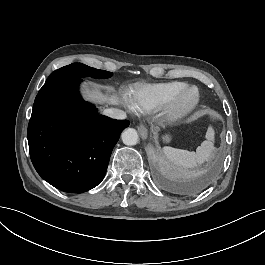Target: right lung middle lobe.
<instances>
[{
	"label": "right lung middle lobe",
	"mask_w": 265,
	"mask_h": 265,
	"mask_svg": "<svg viewBox=\"0 0 265 265\" xmlns=\"http://www.w3.org/2000/svg\"><path fill=\"white\" fill-rule=\"evenodd\" d=\"M111 75L112 73L108 71L98 70L82 63H73L54 71L48 77L45 84L64 80L81 79L82 77L104 79Z\"/></svg>",
	"instance_id": "obj_1"
}]
</instances>
